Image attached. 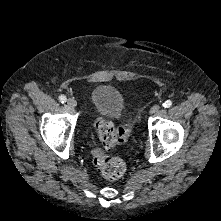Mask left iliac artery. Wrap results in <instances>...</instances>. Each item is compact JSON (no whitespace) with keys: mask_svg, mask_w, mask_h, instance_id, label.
I'll return each mask as SVG.
<instances>
[{"mask_svg":"<svg viewBox=\"0 0 221 221\" xmlns=\"http://www.w3.org/2000/svg\"><path fill=\"white\" fill-rule=\"evenodd\" d=\"M172 105V101L171 100H167L162 104L163 108H169Z\"/></svg>","mask_w":221,"mask_h":221,"instance_id":"1","label":"left iliac artery"}]
</instances>
